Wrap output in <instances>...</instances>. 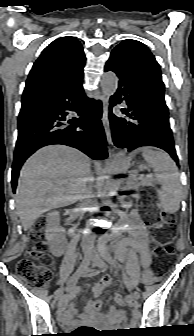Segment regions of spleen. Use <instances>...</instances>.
<instances>
[{"label": "spleen", "mask_w": 194, "mask_h": 336, "mask_svg": "<svg viewBox=\"0 0 194 336\" xmlns=\"http://www.w3.org/2000/svg\"><path fill=\"white\" fill-rule=\"evenodd\" d=\"M147 164L153 168L158 182L161 184L159 200L161 207L168 213L179 210L182 188L178 168L170 156L159 150L144 148L142 151Z\"/></svg>", "instance_id": "1"}]
</instances>
